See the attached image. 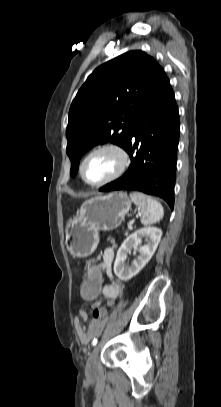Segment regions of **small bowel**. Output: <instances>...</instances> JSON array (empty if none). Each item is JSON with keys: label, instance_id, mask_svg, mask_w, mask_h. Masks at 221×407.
Listing matches in <instances>:
<instances>
[{"label": "small bowel", "instance_id": "small-bowel-1", "mask_svg": "<svg viewBox=\"0 0 221 407\" xmlns=\"http://www.w3.org/2000/svg\"><path fill=\"white\" fill-rule=\"evenodd\" d=\"M115 257V252L112 248H107L104 250L102 259L100 261V273L102 274V279L107 276L109 281L103 282V291L98 292L99 295L102 294L108 306L114 304L115 300L122 295V287L119 281L113 276L112 273V263ZM92 301V300H90ZM103 299L101 297H96L94 301L90 303V308L94 310L96 305H102ZM79 316L75 319V327L78 333L79 340L83 344H87L90 340L96 336L105 325V318H93L88 325L87 313L85 310L80 309L78 312Z\"/></svg>", "mask_w": 221, "mask_h": 407}]
</instances>
